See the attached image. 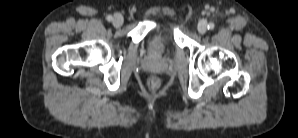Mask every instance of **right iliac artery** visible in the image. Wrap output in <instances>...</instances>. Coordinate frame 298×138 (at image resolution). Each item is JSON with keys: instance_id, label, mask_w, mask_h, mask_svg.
I'll return each instance as SVG.
<instances>
[{"instance_id": "right-iliac-artery-1", "label": "right iliac artery", "mask_w": 298, "mask_h": 138, "mask_svg": "<svg viewBox=\"0 0 298 138\" xmlns=\"http://www.w3.org/2000/svg\"><path fill=\"white\" fill-rule=\"evenodd\" d=\"M106 19H107V21H112V20H113V17H112L111 15H108V16L106 17Z\"/></svg>"}]
</instances>
